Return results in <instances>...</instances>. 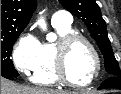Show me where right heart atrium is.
I'll list each match as a JSON object with an SVG mask.
<instances>
[{
	"label": "right heart atrium",
	"instance_id": "d8ad5b80",
	"mask_svg": "<svg viewBox=\"0 0 121 94\" xmlns=\"http://www.w3.org/2000/svg\"><path fill=\"white\" fill-rule=\"evenodd\" d=\"M40 42L31 33L22 35L12 50L14 67L22 74L30 73L38 62Z\"/></svg>",
	"mask_w": 121,
	"mask_h": 94
}]
</instances>
